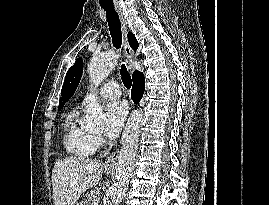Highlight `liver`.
Returning <instances> with one entry per match:
<instances>
[{
	"mask_svg": "<svg viewBox=\"0 0 269 205\" xmlns=\"http://www.w3.org/2000/svg\"><path fill=\"white\" fill-rule=\"evenodd\" d=\"M103 164L84 157H68L55 162L52 172L55 205H76L81 194L99 184Z\"/></svg>",
	"mask_w": 269,
	"mask_h": 205,
	"instance_id": "obj_1",
	"label": "liver"
}]
</instances>
